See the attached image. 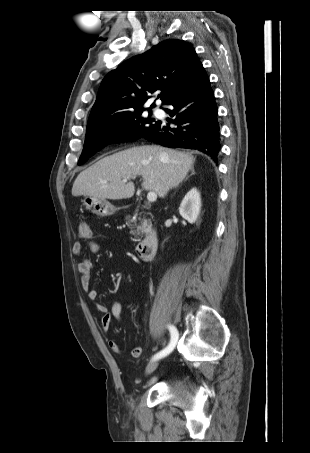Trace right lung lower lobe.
<instances>
[{
	"label": "right lung lower lobe",
	"instance_id": "1",
	"mask_svg": "<svg viewBox=\"0 0 310 453\" xmlns=\"http://www.w3.org/2000/svg\"><path fill=\"white\" fill-rule=\"evenodd\" d=\"M164 109L175 127L158 121L143 138L171 148L197 149L217 162L220 150L218 109L209 78L203 68L195 77L176 93Z\"/></svg>",
	"mask_w": 310,
	"mask_h": 453
}]
</instances>
